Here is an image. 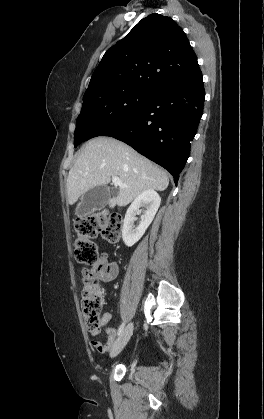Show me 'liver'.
Listing matches in <instances>:
<instances>
[{
	"mask_svg": "<svg viewBox=\"0 0 264 419\" xmlns=\"http://www.w3.org/2000/svg\"><path fill=\"white\" fill-rule=\"evenodd\" d=\"M118 177L127 187L109 199L110 208L126 206L145 190L164 191L167 173L127 144L109 137H96L82 148L67 178L68 203L73 205L88 190Z\"/></svg>",
	"mask_w": 264,
	"mask_h": 419,
	"instance_id": "1",
	"label": "liver"
}]
</instances>
